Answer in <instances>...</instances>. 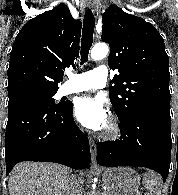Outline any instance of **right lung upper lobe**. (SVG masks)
<instances>
[{
  "label": "right lung upper lobe",
  "mask_w": 178,
  "mask_h": 195,
  "mask_svg": "<svg viewBox=\"0 0 178 195\" xmlns=\"http://www.w3.org/2000/svg\"><path fill=\"white\" fill-rule=\"evenodd\" d=\"M82 24L65 4L29 20L10 53L8 96L28 90H58L66 67L79 56Z\"/></svg>",
  "instance_id": "right-lung-upper-lobe-1"
}]
</instances>
